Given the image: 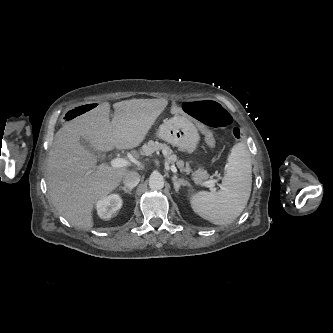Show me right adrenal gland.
Wrapping results in <instances>:
<instances>
[{
    "label": "right adrenal gland",
    "mask_w": 333,
    "mask_h": 333,
    "mask_svg": "<svg viewBox=\"0 0 333 333\" xmlns=\"http://www.w3.org/2000/svg\"><path fill=\"white\" fill-rule=\"evenodd\" d=\"M120 190H123L125 193L131 194L132 189L126 188V187H120Z\"/></svg>",
    "instance_id": "1"
}]
</instances>
